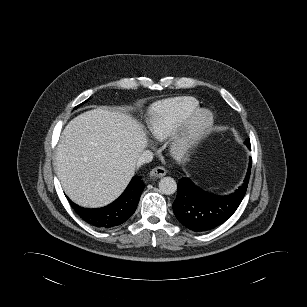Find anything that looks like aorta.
<instances>
[{
	"instance_id": "762f6f07",
	"label": "aorta",
	"mask_w": 307,
	"mask_h": 307,
	"mask_svg": "<svg viewBox=\"0 0 307 307\" xmlns=\"http://www.w3.org/2000/svg\"><path fill=\"white\" fill-rule=\"evenodd\" d=\"M159 189L165 195L174 194L177 190V183L171 177H164L159 182Z\"/></svg>"
}]
</instances>
